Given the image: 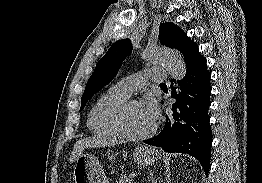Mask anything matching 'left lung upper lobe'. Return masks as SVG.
Returning a JSON list of instances; mask_svg holds the SVG:
<instances>
[{"mask_svg":"<svg viewBox=\"0 0 262 183\" xmlns=\"http://www.w3.org/2000/svg\"><path fill=\"white\" fill-rule=\"evenodd\" d=\"M159 40L163 45L179 50L184 59L198 50L196 43L189 40L186 34L173 23L166 22L160 25ZM131 50L132 45L129 39H122L112 44L107 53L98 61L94 73L87 82L80 111L95 93L115 77L122 61L131 53Z\"/></svg>","mask_w":262,"mask_h":183,"instance_id":"5c2ea615","label":"left lung upper lobe"}]
</instances>
